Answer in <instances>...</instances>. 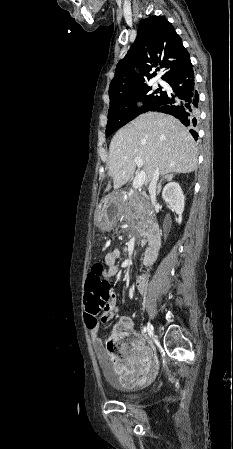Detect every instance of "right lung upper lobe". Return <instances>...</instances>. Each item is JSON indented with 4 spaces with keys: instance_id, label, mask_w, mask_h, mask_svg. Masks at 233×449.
I'll return each mask as SVG.
<instances>
[{
    "instance_id": "obj_1",
    "label": "right lung upper lobe",
    "mask_w": 233,
    "mask_h": 449,
    "mask_svg": "<svg viewBox=\"0 0 233 449\" xmlns=\"http://www.w3.org/2000/svg\"><path fill=\"white\" fill-rule=\"evenodd\" d=\"M158 65L165 68L162 79L167 81L191 62L172 24L163 16H150L140 22L135 43L117 64L109 86L110 99L147 86L146 80L155 76L150 73L152 67ZM135 66L142 74L134 73Z\"/></svg>"
}]
</instances>
